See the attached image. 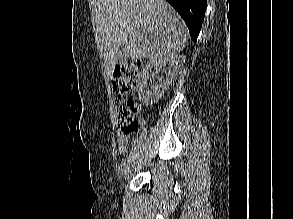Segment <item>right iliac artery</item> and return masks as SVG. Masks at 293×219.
Wrapping results in <instances>:
<instances>
[{
  "mask_svg": "<svg viewBox=\"0 0 293 219\" xmlns=\"http://www.w3.org/2000/svg\"><path fill=\"white\" fill-rule=\"evenodd\" d=\"M135 153H136V148L132 149V151L130 152L129 156L127 157L126 161L124 164H130V162L133 160V158L135 157Z\"/></svg>",
  "mask_w": 293,
  "mask_h": 219,
  "instance_id": "right-iliac-artery-1",
  "label": "right iliac artery"
}]
</instances>
